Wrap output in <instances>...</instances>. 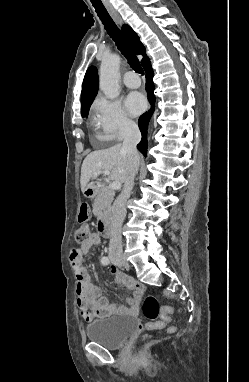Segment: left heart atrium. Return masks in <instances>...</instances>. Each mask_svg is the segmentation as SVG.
<instances>
[{"mask_svg":"<svg viewBox=\"0 0 249 382\" xmlns=\"http://www.w3.org/2000/svg\"><path fill=\"white\" fill-rule=\"evenodd\" d=\"M125 104L132 115H138L145 109L146 101L140 93L133 92L127 97Z\"/></svg>","mask_w":249,"mask_h":382,"instance_id":"obj_1","label":"left heart atrium"}]
</instances>
